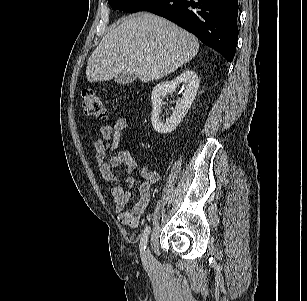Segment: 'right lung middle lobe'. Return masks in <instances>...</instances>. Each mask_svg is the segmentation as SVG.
Masks as SVG:
<instances>
[{"mask_svg": "<svg viewBox=\"0 0 307 301\" xmlns=\"http://www.w3.org/2000/svg\"><path fill=\"white\" fill-rule=\"evenodd\" d=\"M155 0H108L113 10L134 13L141 11Z\"/></svg>", "mask_w": 307, "mask_h": 301, "instance_id": "1", "label": "right lung middle lobe"}]
</instances>
